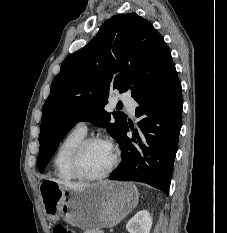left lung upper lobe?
Returning <instances> with one entry per match:
<instances>
[{
	"instance_id": "1",
	"label": "left lung upper lobe",
	"mask_w": 227,
	"mask_h": 233,
	"mask_svg": "<svg viewBox=\"0 0 227 233\" xmlns=\"http://www.w3.org/2000/svg\"><path fill=\"white\" fill-rule=\"evenodd\" d=\"M173 65L163 37L136 13L115 15L82 49L68 56L44 106L37 165L41 173L66 133L79 121L106 126L117 141L127 116L104 110L113 89L133 98L154 87Z\"/></svg>"
}]
</instances>
